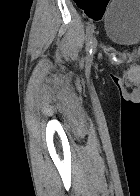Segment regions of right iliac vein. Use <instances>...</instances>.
<instances>
[{
  "label": "right iliac vein",
  "mask_w": 140,
  "mask_h": 196,
  "mask_svg": "<svg viewBox=\"0 0 140 196\" xmlns=\"http://www.w3.org/2000/svg\"><path fill=\"white\" fill-rule=\"evenodd\" d=\"M96 48H97V39H96V37L94 36L93 42H92V52H94V51L96 50ZM92 60H93V55H92V53H91V55H89V56L87 57V61H88V62H92Z\"/></svg>",
  "instance_id": "63e3f726"
}]
</instances>
